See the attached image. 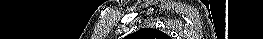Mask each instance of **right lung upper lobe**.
<instances>
[{"label": "right lung upper lobe", "mask_w": 263, "mask_h": 39, "mask_svg": "<svg viewBox=\"0 0 263 39\" xmlns=\"http://www.w3.org/2000/svg\"><path fill=\"white\" fill-rule=\"evenodd\" d=\"M136 35L149 36V37H159V38H166L167 37V35H165L163 32L156 30V29H151V28L142 29V30L136 32Z\"/></svg>", "instance_id": "right-lung-upper-lobe-1"}]
</instances>
